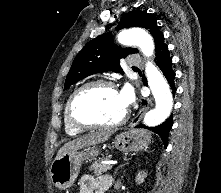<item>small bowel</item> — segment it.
<instances>
[{
  "mask_svg": "<svg viewBox=\"0 0 221 193\" xmlns=\"http://www.w3.org/2000/svg\"><path fill=\"white\" fill-rule=\"evenodd\" d=\"M111 184L112 179L108 176L84 174L80 179V193H105Z\"/></svg>",
  "mask_w": 221,
  "mask_h": 193,
  "instance_id": "c3829d8e",
  "label": "small bowel"
}]
</instances>
